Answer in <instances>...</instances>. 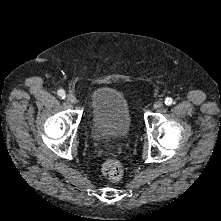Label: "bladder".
Wrapping results in <instances>:
<instances>
[{
  "label": "bladder",
  "mask_w": 221,
  "mask_h": 221,
  "mask_svg": "<svg viewBox=\"0 0 221 221\" xmlns=\"http://www.w3.org/2000/svg\"><path fill=\"white\" fill-rule=\"evenodd\" d=\"M131 115L124 95L112 88L95 90L90 100L89 127L93 140L124 138L131 130Z\"/></svg>",
  "instance_id": "obj_1"
}]
</instances>
